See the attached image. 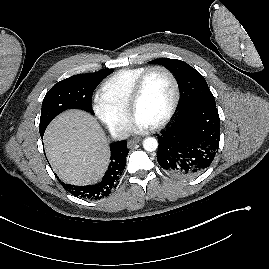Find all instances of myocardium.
<instances>
[{
	"mask_svg": "<svg viewBox=\"0 0 269 269\" xmlns=\"http://www.w3.org/2000/svg\"><path fill=\"white\" fill-rule=\"evenodd\" d=\"M154 71H162L166 75H168V77L172 81L173 89H174L173 100L167 113L159 122L150 126L151 129L156 130V129H160L164 127L171 120L180 102V97H181L180 84L176 75L169 68L163 65H154V66L148 67L140 75V77L138 78V80L136 81L134 85V88H133V91L129 100V104H128V111L132 117H135L136 108L141 99L146 81L148 77L150 76V74L153 73Z\"/></svg>",
	"mask_w": 269,
	"mask_h": 269,
	"instance_id": "obj_1",
	"label": "myocardium"
}]
</instances>
